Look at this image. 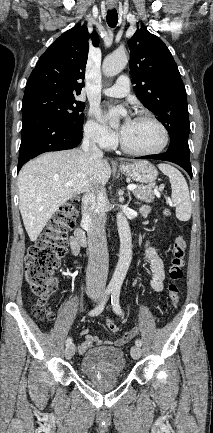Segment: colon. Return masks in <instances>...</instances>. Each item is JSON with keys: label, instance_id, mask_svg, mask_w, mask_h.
Segmentation results:
<instances>
[{"label": "colon", "instance_id": "obj_1", "mask_svg": "<svg viewBox=\"0 0 213 433\" xmlns=\"http://www.w3.org/2000/svg\"><path fill=\"white\" fill-rule=\"evenodd\" d=\"M76 202L73 200L59 208L40 238L29 247L25 258L26 282L32 293L39 298L33 306V313L40 320L53 318L47 299L56 289L55 272L67 251V234L77 215ZM166 214L169 212L166 211ZM185 254L184 237H175L172 242L168 284V297L174 307L180 299L179 281L184 274ZM106 326L113 333L119 330L113 320H108Z\"/></svg>", "mask_w": 213, "mask_h": 433}]
</instances>
